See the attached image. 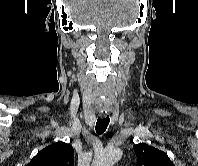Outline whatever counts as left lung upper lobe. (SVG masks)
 Wrapping results in <instances>:
<instances>
[{"label": "left lung upper lobe", "mask_w": 198, "mask_h": 166, "mask_svg": "<svg viewBox=\"0 0 198 166\" xmlns=\"http://www.w3.org/2000/svg\"><path fill=\"white\" fill-rule=\"evenodd\" d=\"M137 156V166H174L166 153L145 143L133 146Z\"/></svg>", "instance_id": "5c2ea615"}]
</instances>
